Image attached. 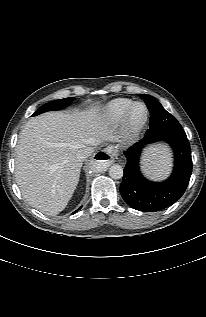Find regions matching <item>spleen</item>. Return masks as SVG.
<instances>
[{
    "label": "spleen",
    "instance_id": "1",
    "mask_svg": "<svg viewBox=\"0 0 206 317\" xmlns=\"http://www.w3.org/2000/svg\"><path fill=\"white\" fill-rule=\"evenodd\" d=\"M170 158L163 147H154L146 152L142 159V170L152 179L164 178L169 173Z\"/></svg>",
    "mask_w": 206,
    "mask_h": 317
}]
</instances>
